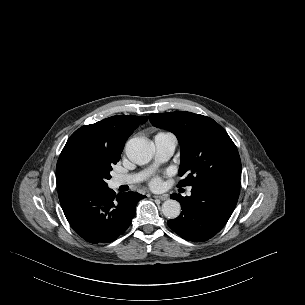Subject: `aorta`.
<instances>
[{
	"instance_id": "762f6f07",
	"label": "aorta",
	"mask_w": 305,
	"mask_h": 305,
	"mask_svg": "<svg viewBox=\"0 0 305 305\" xmlns=\"http://www.w3.org/2000/svg\"><path fill=\"white\" fill-rule=\"evenodd\" d=\"M128 159L138 165L150 162L153 157L154 148L146 140L141 138L130 139L125 146ZM180 203L173 199H168L162 204V213L168 219H175L180 215Z\"/></svg>"
}]
</instances>
